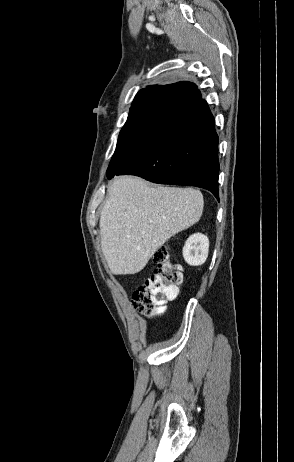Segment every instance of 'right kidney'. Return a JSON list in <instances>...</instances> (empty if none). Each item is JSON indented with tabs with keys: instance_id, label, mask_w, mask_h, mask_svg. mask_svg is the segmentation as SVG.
I'll list each match as a JSON object with an SVG mask.
<instances>
[{
	"instance_id": "right-kidney-1",
	"label": "right kidney",
	"mask_w": 294,
	"mask_h": 462,
	"mask_svg": "<svg viewBox=\"0 0 294 462\" xmlns=\"http://www.w3.org/2000/svg\"><path fill=\"white\" fill-rule=\"evenodd\" d=\"M209 239L201 233H195L186 240L183 247V257L187 264L199 266L208 257Z\"/></svg>"
}]
</instances>
